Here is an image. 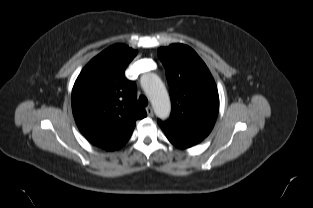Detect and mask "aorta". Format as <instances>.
Returning a JSON list of instances; mask_svg holds the SVG:
<instances>
[{
	"mask_svg": "<svg viewBox=\"0 0 313 208\" xmlns=\"http://www.w3.org/2000/svg\"><path fill=\"white\" fill-rule=\"evenodd\" d=\"M141 85L151 100L156 116L166 119L171 112V102L161 79L154 73H147L141 77Z\"/></svg>",
	"mask_w": 313,
	"mask_h": 208,
	"instance_id": "aorta-1",
	"label": "aorta"
}]
</instances>
